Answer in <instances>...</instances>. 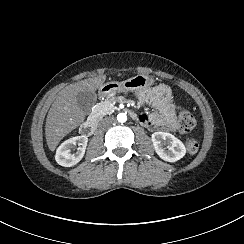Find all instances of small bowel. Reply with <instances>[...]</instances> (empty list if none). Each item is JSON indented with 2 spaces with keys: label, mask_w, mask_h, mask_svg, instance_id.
<instances>
[{
  "label": "small bowel",
  "mask_w": 244,
  "mask_h": 244,
  "mask_svg": "<svg viewBox=\"0 0 244 244\" xmlns=\"http://www.w3.org/2000/svg\"><path fill=\"white\" fill-rule=\"evenodd\" d=\"M140 106H150L153 112L135 114V118L144 127L171 130L175 125V104L168 86L139 88L132 92Z\"/></svg>",
  "instance_id": "1"
}]
</instances>
